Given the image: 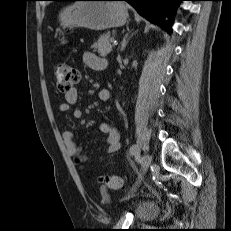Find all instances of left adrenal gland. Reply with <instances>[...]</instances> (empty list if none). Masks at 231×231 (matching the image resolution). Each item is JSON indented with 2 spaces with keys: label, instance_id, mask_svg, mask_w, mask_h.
I'll return each mask as SVG.
<instances>
[{
  "label": "left adrenal gland",
  "instance_id": "1",
  "mask_svg": "<svg viewBox=\"0 0 231 231\" xmlns=\"http://www.w3.org/2000/svg\"><path fill=\"white\" fill-rule=\"evenodd\" d=\"M127 33L124 35L123 40L121 42V46H120V50L123 51L126 47V45L128 44V41L130 40V38L133 36L134 33L130 34V30L127 28Z\"/></svg>",
  "mask_w": 231,
  "mask_h": 231
}]
</instances>
